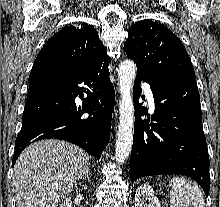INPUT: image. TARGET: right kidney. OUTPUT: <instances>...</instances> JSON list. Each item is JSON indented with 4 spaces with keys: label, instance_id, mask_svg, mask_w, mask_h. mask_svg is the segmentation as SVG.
I'll use <instances>...</instances> for the list:
<instances>
[{
    "label": "right kidney",
    "instance_id": "1",
    "mask_svg": "<svg viewBox=\"0 0 220 207\" xmlns=\"http://www.w3.org/2000/svg\"><path fill=\"white\" fill-rule=\"evenodd\" d=\"M60 207H72V203L69 198H65L64 202L61 203Z\"/></svg>",
    "mask_w": 220,
    "mask_h": 207
}]
</instances>
